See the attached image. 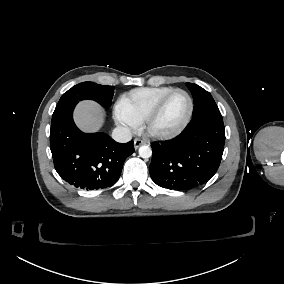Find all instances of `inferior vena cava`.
<instances>
[{
    "label": "inferior vena cava",
    "mask_w": 284,
    "mask_h": 284,
    "mask_svg": "<svg viewBox=\"0 0 284 284\" xmlns=\"http://www.w3.org/2000/svg\"><path fill=\"white\" fill-rule=\"evenodd\" d=\"M112 138L120 143H126L132 139V133L126 127H116L112 132Z\"/></svg>",
    "instance_id": "obj_1"
}]
</instances>
